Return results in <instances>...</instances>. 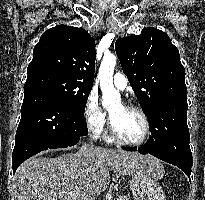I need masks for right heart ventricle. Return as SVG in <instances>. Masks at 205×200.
<instances>
[{
    "label": "right heart ventricle",
    "mask_w": 205,
    "mask_h": 200,
    "mask_svg": "<svg viewBox=\"0 0 205 200\" xmlns=\"http://www.w3.org/2000/svg\"><path fill=\"white\" fill-rule=\"evenodd\" d=\"M107 140H108V141H111V139H110V138H107Z\"/></svg>",
    "instance_id": "obj_1"
}]
</instances>
